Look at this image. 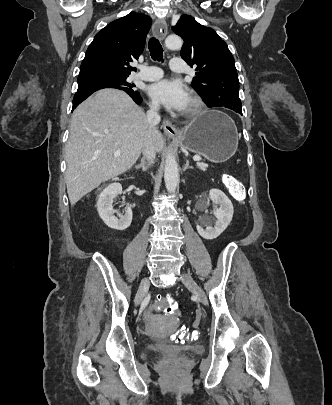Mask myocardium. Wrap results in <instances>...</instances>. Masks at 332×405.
<instances>
[{
  "label": "myocardium",
  "instance_id": "f54148a6",
  "mask_svg": "<svg viewBox=\"0 0 332 405\" xmlns=\"http://www.w3.org/2000/svg\"><path fill=\"white\" fill-rule=\"evenodd\" d=\"M202 110V101L194 93H191L189 96V107L184 111V115L187 117H194L200 113Z\"/></svg>",
  "mask_w": 332,
  "mask_h": 405
}]
</instances>
